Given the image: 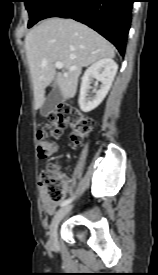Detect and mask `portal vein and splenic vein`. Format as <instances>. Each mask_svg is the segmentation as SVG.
I'll list each match as a JSON object with an SVG mask.
<instances>
[{"label": "portal vein and splenic vein", "instance_id": "portal-vein-and-splenic-vein-1", "mask_svg": "<svg viewBox=\"0 0 158 275\" xmlns=\"http://www.w3.org/2000/svg\"><path fill=\"white\" fill-rule=\"evenodd\" d=\"M55 67H56L57 69H62V68H63V63L60 62V61H57V62L55 63ZM72 70H74V68H70V71H72Z\"/></svg>", "mask_w": 158, "mask_h": 275}]
</instances>
